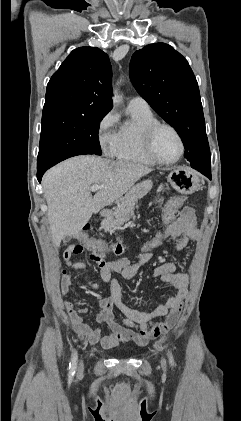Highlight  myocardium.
Masks as SVG:
<instances>
[{
  "label": "myocardium",
  "mask_w": 241,
  "mask_h": 421,
  "mask_svg": "<svg viewBox=\"0 0 241 421\" xmlns=\"http://www.w3.org/2000/svg\"><path fill=\"white\" fill-rule=\"evenodd\" d=\"M162 128H166L171 130L177 137L179 143H180V153L179 155L170 161H165L162 160L155 152L154 149V139L155 136L157 134V132L162 129ZM143 143H144V148L145 151L147 152V154L158 164L160 165H172L177 163L184 155L185 153V143L183 140L182 135L180 134V132L178 131V129L176 127H174L173 125L169 124V123H163V122H156L152 125H150L144 133V137H143Z\"/></svg>",
  "instance_id": "1"
}]
</instances>
